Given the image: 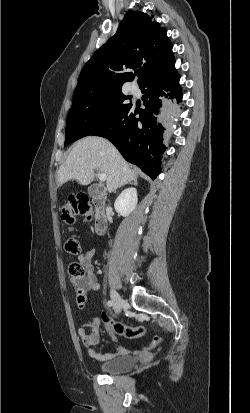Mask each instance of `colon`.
I'll use <instances>...</instances> for the list:
<instances>
[{"label": "colon", "instance_id": "obj_1", "mask_svg": "<svg viewBox=\"0 0 250 413\" xmlns=\"http://www.w3.org/2000/svg\"><path fill=\"white\" fill-rule=\"evenodd\" d=\"M92 215L91 205L86 198V196H72L68 199L62 208L61 219L63 222L71 229L76 216H84L90 218ZM65 251L70 255H77L81 252V246L78 238L71 235L65 242ZM70 273L76 277H83L85 275L84 268L78 264L74 263L70 266ZM78 301L80 304L84 301V295L80 291L78 296ZM103 321L108 324L115 334L124 336L126 338H138L140 336H145L147 334V329L143 322H136L134 327L124 325L118 321L110 319L105 313L102 314ZM160 342L159 337H154L148 344H141L142 351H148V348L155 349L156 345Z\"/></svg>", "mask_w": 250, "mask_h": 413}]
</instances>
